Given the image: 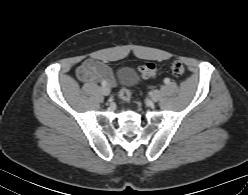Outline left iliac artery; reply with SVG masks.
<instances>
[{
    "mask_svg": "<svg viewBox=\"0 0 248 195\" xmlns=\"http://www.w3.org/2000/svg\"><path fill=\"white\" fill-rule=\"evenodd\" d=\"M164 82H165L166 84H168V83L170 82V80H169L168 78H166V79L164 80Z\"/></svg>",
    "mask_w": 248,
    "mask_h": 195,
    "instance_id": "left-iliac-artery-1",
    "label": "left iliac artery"
}]
</instances>
